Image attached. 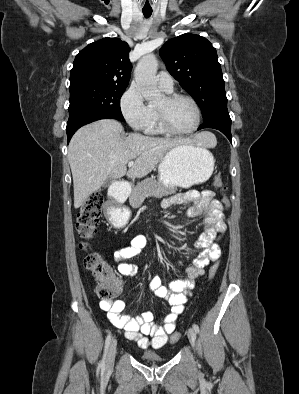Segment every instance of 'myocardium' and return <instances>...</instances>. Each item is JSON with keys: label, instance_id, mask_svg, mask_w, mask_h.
I'll use <instances>...</instances> for the list:
<instances>
[{"label": "myocardium", "instance_id": "myocardium-1", "mask_svg": "<svg viewBox=\"0 0 299 394\" xmlns=\"http://www.w3.org/2000/svg\"><path fill=\"white\" fill-rule=\"evenodd\" d=\"M164 99H165V102L167 104L173 103V102H175L176 100H179V99H185V100L189 101L193 105V107L195 109L196 122H195L194 126L191 129H189V130H186V131L176 130L169 123V120H168V117H167V114H166L165 110L156 107V113H157L158 122H159V125L162 128V130L164 132L168 133V134L179 135V136H181V135H189V134L194 133L198 129V127L200 126V123H201V110H200V107H199L198 103L195 101V99L192 98L189 95L180 94V93L167 94L164 97Z\"/></svg>", "mask_w": 299, "mask_h": 394}]
</instances>
